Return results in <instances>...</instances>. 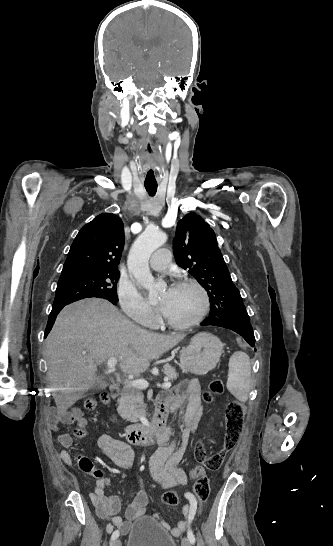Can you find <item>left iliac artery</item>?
Wrapping results in <instances>:
<instances>
[{"mask_svg": "<svg viewBox=\"0 0 333 546\" xmlns=\"http://www.w3.org/2000/svg\"><path fill=\"white\" fill-rule=\"evenodd\" d=\"M192 518L190 517L189 521L191 522ZM188 539L192 544L195 543V535L193 534L192 530L189 528L187 532Z\"/></svg>", "mask_w": 333, "mask_h": 546, "instance_id": "44dca946", "label": "left iliac artery"}]
</instances>
